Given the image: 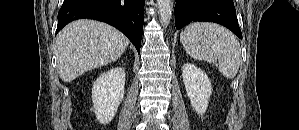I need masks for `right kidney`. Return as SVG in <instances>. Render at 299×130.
Segmentation results:
<instances>
[{"label": "right kidney", "mask_w": 299, "mask_h": 130, "mask_svg": "<svg viewBox=\"0 0 299 130\" xmlns=\"http://www.w3.org/2000/svg\"><path fill=\"white\" fill-rule=\"evenodd\" d=\"M125 72L115 67L102 74L92 88V102L97 120L109 123L124 98Z\"/></svg>", "instance_id": "1"}]
</instances>
